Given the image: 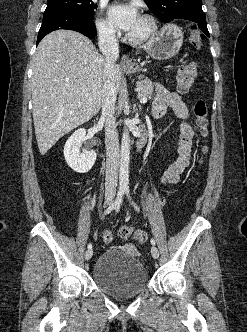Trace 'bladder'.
<instances>
[{"label": "bladder", "instance_id": "31cf9c89", "mask_svg": "<svg viewBox=\"0 0 247 332\" xmlns=\"http://www.w3.org/2000/svg\"><path fill=\"white\" fill-rule=\"evenodd\" d=\"M92 278L101 291L115 298L134 297L149 284L146 267L127 245L105 250L94 264Z\"/></svg>", "mask_w": 247, "mask_h": 332}]
</instances>
